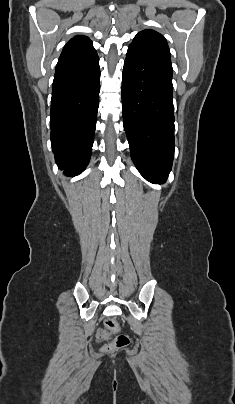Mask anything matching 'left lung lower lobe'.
<instances>
[{
	"label": "left lung lower lobe",
	"mask_w": 235,
	"mask_h": 404,
	"mask_svg": "<svg viewBox=\"0 0 235 404\" xmlns=\"http://www.w3.org/2000/svg\"><path fill=\"white\" fill-rule=\"evenodd\" d=\"M171 60L129 46L122 77L123 125L130 153L151 182L168 178L174 154Z\"/></svg>",
	"instance_id": "obj_1"
}]
</instances>
